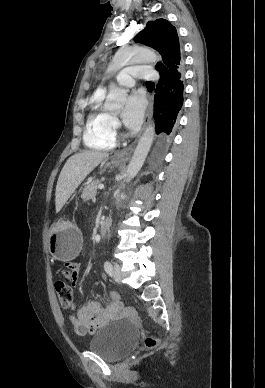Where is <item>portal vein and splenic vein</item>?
Wrapping results in <instances>:
<instances>
[{
    "label": "portal vein and splenic vein",
    "mask_w": 265,
    "mask_h": 388,
    "mask_svg": "<svg viewBox=\"0 0 265 388\" xmlns=\"http://www.w3.org/2000/svg\"><path fill=\"white\" fill-rule=\"evenodd\" d=\"M98 188H100V190H103L104 188L103 184H99Z\"/></svg>",
    "instance_id": "18ae733b"
}]
</instances>
